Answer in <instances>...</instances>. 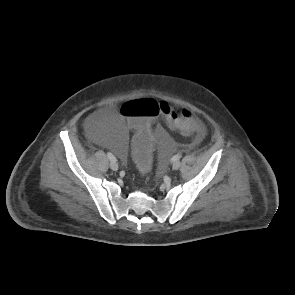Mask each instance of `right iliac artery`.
Instances as JSON below:
<instances>
[{"instance_id": "82829eb1", "label": "right iliac artery", "mask_w": 295, "mask_h": 295, "mask_svg": "<svg viewBox=\"0 0 295 295\" xmlns=\"http://www.w3.org/2000/svg\"><path fill=\"white\" fill-rule=\"evenodd\" d=\"M107 156L111 161H116V158L114 157V155L112 153L108 152Z\"/></svg>"}]
</instances>
